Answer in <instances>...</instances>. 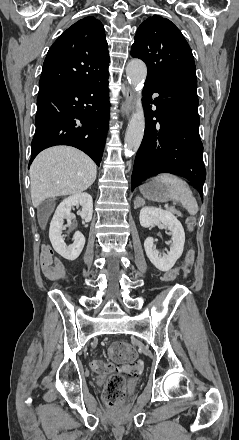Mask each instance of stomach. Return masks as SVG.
<instances>
[{
	"instance_id": "obj_1",
	"label": "stomach",
	"mask_w": 239,
	"mask_h": 440,
	"mask_svg": "<svg viewBox=\"0 0 239 440\" xmlns=\"http://www.w3.org/2000/svg\"><path fill=\"white\" fill-rule=\"evenodd\" d=\"M140 192L143 198L151 200V202H169V200H172L169 186L159 182L158 178H154L152 182L140 186Z\"/></svg>"
}]
</instances>
